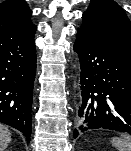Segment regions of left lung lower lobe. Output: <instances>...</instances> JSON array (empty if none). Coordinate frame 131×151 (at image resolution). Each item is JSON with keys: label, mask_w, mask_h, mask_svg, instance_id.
<instances>
[{"label": "left lung lower lobe", "mask_w": 131, "mask_h": 151, "mask_svg": "<svg viewBox=\"0 0 131 151\" xmlns=\"http://www.w3.org/2000/svg\"><path fill=\"white\" fill-rule=\"evenodd\" d=\"M74 51L81 67L82 96L74 138L93 130H114L131 135V58L79 32Z\"/></svg>", "instance_id": "1"}]
</instances>
